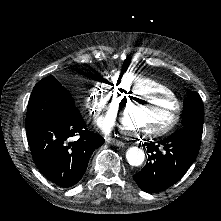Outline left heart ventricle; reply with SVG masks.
<instances>
[{"instance_id": "b2bd125f", "label": "left heart ventricle", "mask_w": 221, "mask_h": 221, "mask_svg": "<svg viewBox=\"0 0 221 221\" xmlns=\"http://www.w3.org/2000/svg\"><path fill=\"white\" fill-rule=\"evenodd\" d=\"M172 116L170 103L154 99L134 100L130 108H123L119 114L120 120L132 128L145 124H162Z\"/></svg>"}]
</instances>
